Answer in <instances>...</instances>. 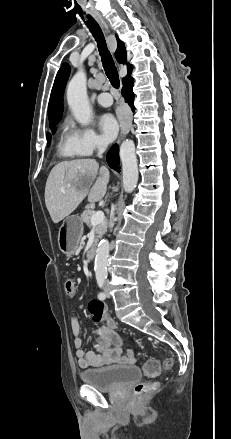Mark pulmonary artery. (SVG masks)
<instances>
[{
    "label": "pulmonary artery",
    "instance_id": "1",
    "mask_svg": "<svg viewBox=\"0 0 231 439\" xmlns=\"http://www.w3.org/2000/svg\"><path fill=\"white\" fill-rule=\"evenodd\" d=\"M97 102L99 105H101L103 107H109L112 105L113 99L109 93L103 92V93L98 95Z\"/></svg>",
    "mask_w": 231,
    "mask_h": 439
}]
</instances>
